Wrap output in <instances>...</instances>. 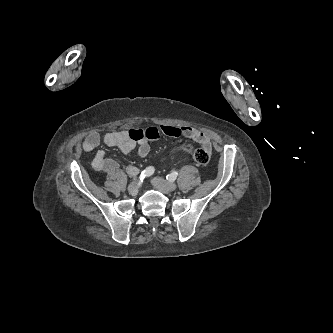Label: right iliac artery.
Here are the masks:
<instances>
[{"instance_id":"1","label":"right iliac artery","mask_w":333,"mask_h":333,"mask_svg":"<svg viewBox=\"0 0 333 333\" xmlns=\"http://www.w3.org/2000/svg\"><path fill=\"white\" fill-rule=\"evenodd\" d=\"M154 173V167L149 166L147 167L142 173L140 174V180H143L146 177L151 176Z\"/></svg>"}]
</instances>
